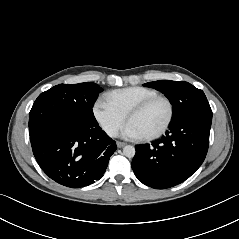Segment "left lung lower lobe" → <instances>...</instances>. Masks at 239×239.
<instances>
[{"label":"left lung lower lobe","mask_w":239,"mask_h":239,"mask_svg":"<svg viewBox=\"0 0 239 239\" xmlns=\"http://www.w3.org/2000/svg\"><path fill=\"white\" fill-rule=\"evenodd\" d=\"M212 112H195L172 121L166 135L151 145H137L132 161L145 185L165 189L188 179L203 163L209 145Z\"/></svg>","instance_id":"0a47b994"}]
</instances>
